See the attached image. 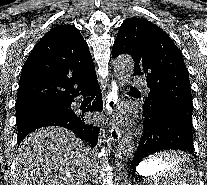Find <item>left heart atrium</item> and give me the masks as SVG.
<instances>
[{
  "label": "left heart atrium",
  "mask_w": 207,
  "mask_h": 185,
  "mask_svg": "<svg viewBox=\"0 0 207 185\" xmlns=\"http://www.w3.org/2000/svg\"><path fill=\"white\" fill-rule=\"evenodd\" d=\"M120 114L117 116V120H119V121H122L123 119H122V111L121 112H119Z\"/></svg>",
  "instance_id": "left-heart-atrium-1"
}]
</instances>
